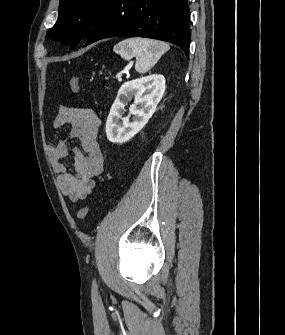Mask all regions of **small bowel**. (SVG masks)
I'll list each match as a JSON object with an SVG mask.
<instances>
[{"mask_svg":"<svg viewBox=\"0 0 285 335\" xmlns=\"http://www.w3.org/2000/svg\"><path fill=\"white\" fill-rule=\"evenodd\" d=\"M69 126L67 139L48 148L51 165L64 196L72 201L84 199L95 186V177L104 169V155L97 141L100 120L89 108L61 105L53 120L55 129ZM68 139H77L80 147L73 150V170L65 160L69 155Z\"/></svg>","mask_w":285,"mask_h":335,"instance_id":"c3829d8e","label":"small bowel"}]
</instances>
